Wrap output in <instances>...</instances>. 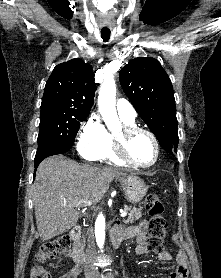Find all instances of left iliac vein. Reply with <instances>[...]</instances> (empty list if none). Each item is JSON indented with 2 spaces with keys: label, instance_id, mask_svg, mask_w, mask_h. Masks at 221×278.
<instances>
[{
  "label": "left iliac vein",
  "instance_id": "4c4485c4",
  "mask_svg": "<svg viewBox=\"0 0 221 278\" xmlns=\"http://www.w3.org/2000/svg\"><path fill=\"white\" fill-rule=\"evenodd\" d=\"M95 278H105V277H100V275H99V274H97V276H96Z\"/></svg>",
  "mask_w": 221,
  "mask_h": 278
}]
</instances>
